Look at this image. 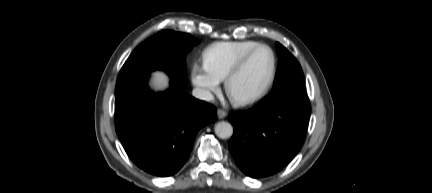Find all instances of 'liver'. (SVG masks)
I'll list each match as a JSON object with an SVG mask.
<instances>
[{"instance_id": "1", "label": "liver", "mask_w": 432, "mask_h": 193, "mask_svg": "<svg viewBox=\"0 0 432 193\" xmlns=\"http://www.w3.org/2000/svg\"><path fill=\"white\" fill-rule=\"evenodd\" d=\"M152 82L157 89H163L168 86V77L162 72L152 73Z\"/></svg>"}]
</instances>
